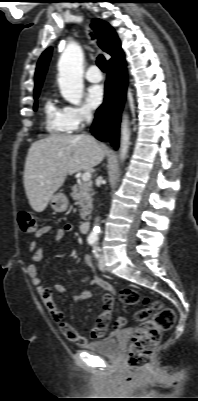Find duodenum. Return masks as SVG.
Returning a JSON list of instances; mask_svg holds the SVG:
<instances>
[{
	"mask_svg": "<svg viewBox=\"0 0 198 401\" xmlns=\"http://www.w3.org/2000/svg\"><path fill=\"white\" fill-rule=\"evenodd\" d=\"M91 222V219H86L85 221H83L80 225V231L82 233H87L89 231Z\"/></svg>",
	"mask_w": 198,
	"mask_h": 401,
	"instance_id": "obj_1",
	"label": "duodenum"
}]
</instances>
